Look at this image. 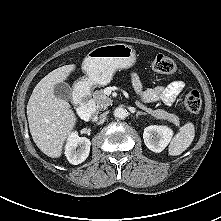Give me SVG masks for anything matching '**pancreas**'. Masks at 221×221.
<instances>
[{
	"mask_svg": "<svg viewBox=\"0 0 221 221\" xmlns=\"http://www.w3.org/2000/svg\"><path fill=\"white\" fill-rule=\"evenodd\" d=\"M93 99L99 110L107 109V107L112 105V102H113L112 99L105 94L103 89L96 90L93 93ZM135 104L138 108L144 110L145 112H147L148 114H150L151 116L157 119L168 120L169 122H172L176 126H178L180 123L178 116L175 114L168 113L167 111L163 109L153 110L151 108H147L139 100H136Z\"/></svg>",
	"mask_w": 221,
	"mask_h": 221,
	"instance_id": "obj_1",
	"label": "pancreas"
}]
</instances>
